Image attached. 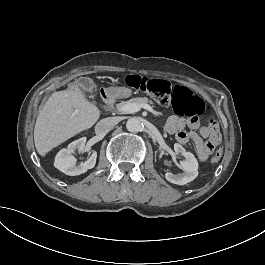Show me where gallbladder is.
<instances>
[{"label":"gallbladder","mask_w":265,"mask_h":265,"mask_svg":"<svg viewBox=\"0 0 265 265\" xmlns=\"http://www.w3.org/2000/svg\"><path fill=\"white\" fill-rule=\"evenodd\" d=\"M78 84L81 86V87H85L86 90L89 92V93H92L94 90H95V85L89 81L88 79H84V78H79L78 80Z\"/></svg>","instance_id":"bac80fb5"}]
</instances>
